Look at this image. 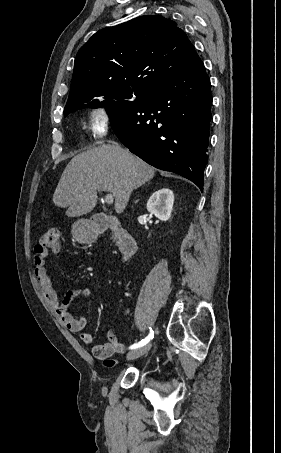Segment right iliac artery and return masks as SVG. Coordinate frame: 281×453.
<instances>
[{"label": "right iliac artery", "mask_w": 281, "mask_h": 453, "mask_svg": "<svg viewBox=\"0 0 281 453\" xmlns=\"http://www.w3.org/2000/svg\"><path fill=\"white\" fill-rule=\"evenodd\" d=\"M149 329H150V334L145 339H142L139 343L132 345L130 347V349H136V348L142 347V346L146 345L151 339L154 338V331L152 330L151 327H149Z\"/></svg>", "instance_id": "82829eb1"}]
</instances>
